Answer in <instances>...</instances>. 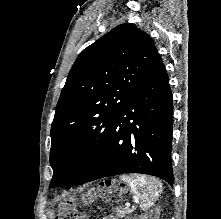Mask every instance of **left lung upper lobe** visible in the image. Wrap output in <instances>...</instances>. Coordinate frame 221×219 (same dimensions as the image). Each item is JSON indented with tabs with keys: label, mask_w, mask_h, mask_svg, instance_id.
Returning a JSON list of instances; mask_svg holds the SVG:
<instances>
[{
	"label": "left lung upper lobe",
	"mask_w": 221,
	"mask_h": 219,
	"mask_svg": "<svg viewBox=\"0 0 221 219\" xmlns=\"http://www.w3.org/2000/svg\"><path fill=\"white\" fill-rule=\"evenodd\" d=\"M158 50L134 24H121L84 49L72 66L51 127L50 187L77 184L107 141Z\"/></svg>",
	"instance_id": "obj_1"
}]
</instances>
